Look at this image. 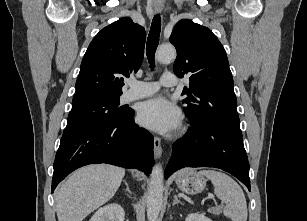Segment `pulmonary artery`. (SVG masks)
<instances>
[{
	"label": "pulmonary artery",
	"mask_w": 307,
	"mask_h": 221,
	"mask_svg": "<svg viewBox=\"0 0 307 221\" xmlns=\"http://www.w3.org/2000/svg\"><path fill=\"white\" fill-rule=\"evenodd\" d=\"M177 84L173 73L166 72L162 75L160 82H141L134 79L128 81L129 89L123 94V101L130 102L136 99L153 95L160 86L173 87Z\"/></svg>",
	"instance_id": "1"
}]
</instances>
